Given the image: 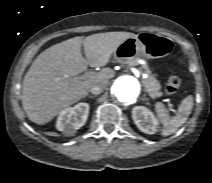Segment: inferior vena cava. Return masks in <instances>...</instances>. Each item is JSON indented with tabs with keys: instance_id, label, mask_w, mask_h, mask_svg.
Here are the masks:
<instances>
[{
	"instance_id": "obj_1",
	"label": "inferior vena cava",
	"mask_w": 212,
	"mask_h": 183,
	"mask_svg": "<svg viewBox=\"0 0 212 183\" xmlns=\"http://www.w3.org/2000/svg\"><path fill=\"white\" fill-rule=\"evenodd\" d=\"M106 87L105 83H96L93 86H91V88L89 89V92L94 94V95H99L104 88Z\"/></svg>"
}]
</instances>
